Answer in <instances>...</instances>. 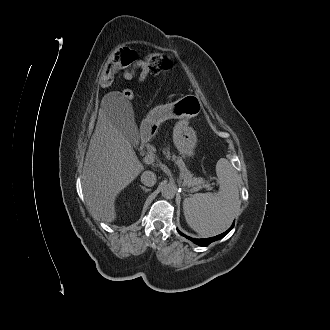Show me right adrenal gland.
<instances>
[{"mask_svg":"<svg viewBox=\"0 0 330 330\" xmlns=\"http://www.w3.org/2000/svg\"><path fill=\"white\" fill-rule=\"evenodd\" d=\"M141 189H143L145 192H148L149 189H147L145 186L139 185Z\"/></svg>","mask_w":330,"mask_h":330,"instance_id":"2a0ac1e0","label":"right adrenal gland"}]
</instances>
